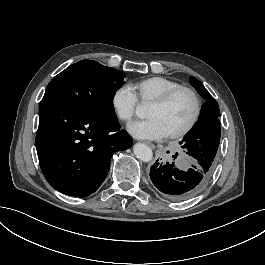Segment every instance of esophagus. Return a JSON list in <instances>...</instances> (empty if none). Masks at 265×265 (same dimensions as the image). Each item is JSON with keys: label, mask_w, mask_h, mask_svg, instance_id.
Listing matches in <instances>:
<instances>
[{"label": "esophagus", "mask_w": 265, "mask_h": 265, "mask_svg": "<svg viewBox=\"0 0 265 265\" xmlns=\"http://www.w3.org/2000/svg\"><path fill=\"white\" fill-rule=\"evenodd\" d=\"M143 144H146L148 147H150L152 150H155V145L153 143L147 142V141H142Z\"/></svg>", "instance_id": "1"}]
</instances>
